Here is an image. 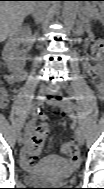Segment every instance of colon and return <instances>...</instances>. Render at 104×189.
Masks as SVG:
<instances>
[{
  "instance_id": "1",
  "label": "colon",
  "mask_w": 104,
  "mask_h": 189,
  "mask_svg": "<svg viewBox=\"0 0 104 189\" xmlns=\"http://www.w3.org/2000/svg\"><path fill=\"white\" fill-rule=\"evenodd\" d=\"M102 49L101 44L97 43L94 47V50L96 53H99ZM93 75L96 78L101 77L102 75V69L100 67H95L93 69ZM49 125L47 122L43 121L40 122L38 124L36 133L33 135L30 145H29V149H28V153H27V157H29L30 162L34 163L40 156L44 143L46 141V138L49 135ZM62 151L65 155H67L71 160L76 161L78 159L79 156V151H78V147L75 144V142L73 141H67L63 144L62 146Z\"/></svg>"
}]
</instances>
